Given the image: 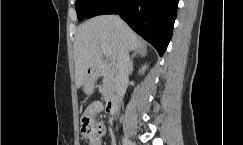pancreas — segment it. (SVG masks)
<instances>
[{
	"instance_id": "pancreas-1",
	"label": "pancreas",
	"mask_w": 243,
	"mask_h": 145,
	"mask_svg": "<svg viewBox=\"0 0 243 145\" xmlns=\"http://www.w3.org/2000/svg\"><path fill=\"white\" fill-rule=\"evenodd\" d=\"M115 90V77L111 69H106L103 75L102 93L108 97Z\"/></svg>"
}]
</instances>
